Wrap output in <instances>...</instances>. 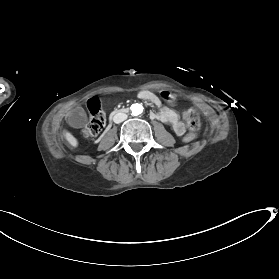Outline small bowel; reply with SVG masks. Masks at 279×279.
Segmentation results:
<instances>
[{
    "mask_svg": "<svg viewBox=\"0 0 279 279\" xmlns=\"http://www.w3.org/2000/svg\"><path fill=\"white\" fill-rule=\"evenodd\" d=\"M140 96L143 99H146V100L152 102L153 104H155L157 107L160 108V110L158 112L151 113L152 118L168 122V123L172 124V127H173L174 131L176 132V134H178V135L184 134V132H185L184 123L179 120L177 113L173 109L162 104L161 100L159 99V97L156 94H154L153 92H150V91H145V92H142L140 94ZM161 96L168 103H173L175 101V96L167 90L161 91Z\"/></svg>",
    "mask_w": 279,
    "mask_h": 279,
    "instance_id": "c3829d8e",
    "label": "small bowel"
}]
</instances>
